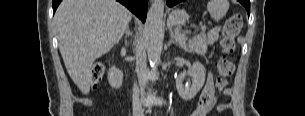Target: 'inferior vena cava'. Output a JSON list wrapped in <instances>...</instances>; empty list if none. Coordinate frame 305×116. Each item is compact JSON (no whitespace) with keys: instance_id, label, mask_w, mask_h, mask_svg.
<instances>
[{"instance_id":"obj_1","label":"inferior vena cava","mask_w":305,"mask_h":116,"mask_svg":"<svg viewBox=\"0 0 305 116\" xmlns=\"http://www.w3.org/2000/svg\"><path fill=\"white\" fill-rule=\"evenodd\" d=\"M143 109L140 102V89L137 84L133 87V114L134 116H143Z\"/></svg>"}]
</instances>
